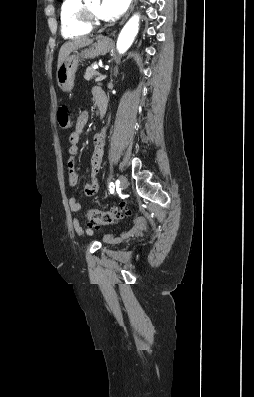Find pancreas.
<instances>
[{
  "label": "pancreas",
  "instance_id": "cf45deb5",
  "mask_svg": "<svg viewBox=\"0 0 254 397\" xmlns=\"http://www.w3.org/2000/svg\"><path fill=\"white\" fill-rule=\"evenodd\" d=\"M98 75L99 73L92 66H90L86 69V72L84 74V79L89 81Z\"/></svg>",
  "mask_w": 254,
  "mask_h": 397
}]
</instances>
